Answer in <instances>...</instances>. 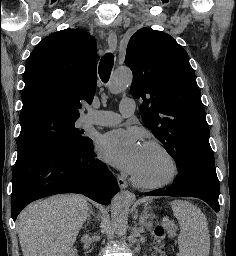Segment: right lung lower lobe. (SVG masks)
<instances>
[{
  "label": "right lung lower lobe",
  "mask_w": 236,
  "mask_h": 256,
  "mask_svg": "<svg viewBox=\"0 0 236 256\" xmlns=\"http://www.w3.org/2000/svg\"><path fill=\"white\" fill-rule=\"evenodd\" d=\"M95 156L91 140L80 148L52 146L17 158L12 175L13 220L32 201L60 193H81L110 204L118 183Z\"/></svg>",
  "instance_id": "98d812e1"
}]
</instances>
